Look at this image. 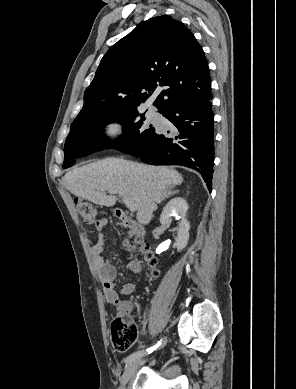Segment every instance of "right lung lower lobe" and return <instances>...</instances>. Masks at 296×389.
<instances>
[{
    "mask_svg": "<svg viewBox=\"0 0 296 389\" xmlns=\"http://www.w3.org/2000/svg\"><path fill=\"white\" fill-rule=\"evenodd\" d=\"M211 92L178 104L163 114L178 130L170 136L156 131L142 151L128 153L151 165H181L200 172L212 190L214 115Z\"/></svg>",
    "mask_w": 296,
    "mask_h": 389,
    "instance_id": "obj_1",
    "label": "right lung lower lobe"
}]
</instances>
